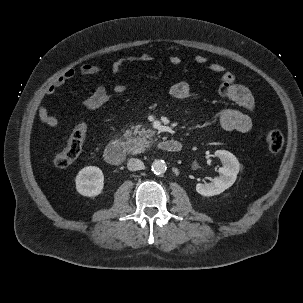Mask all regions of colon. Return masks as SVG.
I'll list each match as a JSON object with an SVG mask.
<instances>
[{"label":"colon","instance_id":"obj_1","mask_svg":"<svg viewBox=\"0 0 303 303\" xmlns=\"http://www.w3.org/2000/svg\"><path fill=\"white\" fill-rule=\"evenodd\" d=\"M110 98V94H104L88 102L86 108L97 110L102 108ZM88 123L80 121L74 128L66 147L56 154L54 163L57 167L64 168L73 163L80 155L84 141L88 134ZM265 141L269 151L276 154L281 151L284 145V137L277 129H267L265 132Z\"/></svg>","mask_w":303,"mask_h":303}]
</instances>
